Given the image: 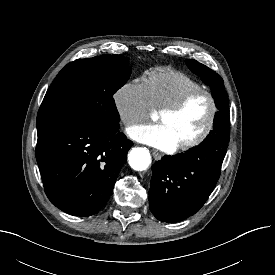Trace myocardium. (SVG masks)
Here are the masks:
<instances>
[{"label":"myocardium","instance_id":"1","mask_svg":"<svg viewBox=\"0 0 275 275\" xmlns=\"http://www.w3.org/2000/svg\"><path fill=\"white\" fill-rule=\"evenodd\" d=\"M198 95H205L209 100L210 112H209L208 120H207L206 125L204 126L203 130L197 136H195L194 138H192L188 141L178 144L177 149L187 150V149L193 148V147L201 144L208 137V135L210 134V132L212 131V129L214 127L215 120H216L217 113H218V104H217L215 95L207 89L197 88V89L187 92L181 98H179L177 101H175L174 103H172L168 106L161 108L158 112L159 114L178 113L193 98H195Z\"/></svg>","mask_w":275,"mask_h":275}]
</instances>
